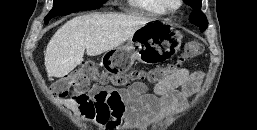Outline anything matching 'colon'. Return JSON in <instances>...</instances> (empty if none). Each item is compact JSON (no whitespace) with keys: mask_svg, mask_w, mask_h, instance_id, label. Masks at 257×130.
Listing matches in <instances>:
<instances>
[{"mask_svg":"<svg viewBox=\"0 0 257 130\" xmlns=\"http://www.w3.org/2000/svg\"><path fill=\"white\" fill-rule=\"evenodd\" d=\"M203 53V45L195 40L189 41L184 48L179 60L167 67L154 68L148 71L132 70L128 74L100 72L94 62L83 63L63 78L58 79L52 85L54 97H66L72 90V97L77 100L87 99V90L93 81L111 83L117 87L126 86L131 80H146L150 83H158L168 75L176 73L182 64L196 58Z\"/></svg>","mask_w":257,"mask_h":130,"instance_id":"colon-1","label":"colon"}]
</instances>
